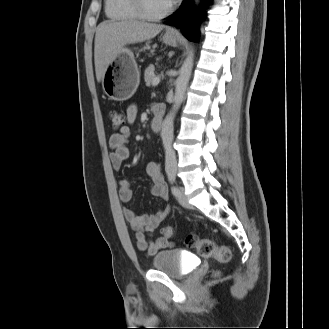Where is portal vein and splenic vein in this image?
Wrapping results in <instances>:
<instances>
[{
    "label": "portal vein and splenic vein",
    "mask_w": 329,
    "mask_h": 329,
    "mask_svg": "<svg viewBox=\"0 0 329 329\" xmlns=\"http://www.w3.org/2000/svg\"><path fill=\"white\" fill-rule=\"evenodd\" d=\"M159 82H160V76H156L152 81V85L156 86L159 84Z\"/></svg>",
    "instance_id": "obj_1"
}]
</instances>
